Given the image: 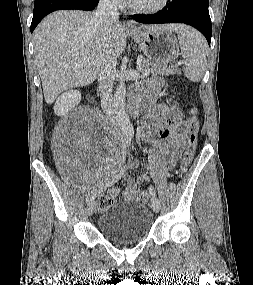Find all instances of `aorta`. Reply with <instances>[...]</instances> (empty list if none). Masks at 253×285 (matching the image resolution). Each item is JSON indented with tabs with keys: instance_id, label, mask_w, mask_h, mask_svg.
I'll return each instance as SVG.
<instances>
[{
	"instance_id": "aorta-1",
	"label": "aorta",
	"mask_w": 253,
	"mask_h": 285,
	"mask_svg": "<svg viewBox=\"0 0 253 285\" xmlns=\"http://www.w3.org/2000/svg\"><path fill=\"white\" fill-rule=\"evenodd\" d=\"M125 97L126 85L124 81H121L114 93V116L119 129L124 134L131 135L134 132V129L125 111Z\"/></svg>"
}]
</instances>
